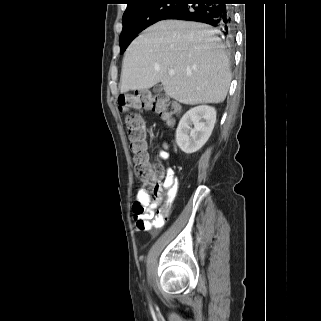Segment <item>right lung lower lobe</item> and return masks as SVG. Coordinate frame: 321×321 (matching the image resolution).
<instances>
[{
	"mask_svg": "<svg viewBox=\"0 0 321 321\" xmlns=\"http://www.w3.org/2000/svg\"><path fill=\"white\" fill-rule=\"evenodd\" d=\"M232 0H182L179 6L166 13L161 20L177 19L207 23L218 28L231 39L233 30Z\"/></svg>",
	"mask_w": 321,
	"mask_h": 321,
	"instance_id": "obj_1",
	"label": "right lung lower lobe"
}]
</instances>
